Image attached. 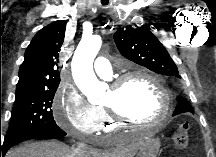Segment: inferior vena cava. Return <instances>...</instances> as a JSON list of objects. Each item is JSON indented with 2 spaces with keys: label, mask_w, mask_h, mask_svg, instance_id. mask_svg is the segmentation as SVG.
I'll list each match as a JSON object with an SVG mask.
<instances>
[{
  "label": "inferior vena cava",
  "mask_w": 216,
  "mask_h": 157,
  "mask_svg": "<svg viewBox=\"0 0 216 157\" xmlns=\"http://www.w3.org/2000/svg\"><path fill=\"white\" fill-rule=\"evenodd\" d=\"M87 149V146L85 143H78V146H77V151L80 152V151H85Z\"/></svg>",
  "instance_id": "inferior-vena-cava-1"
}]
</instances>
